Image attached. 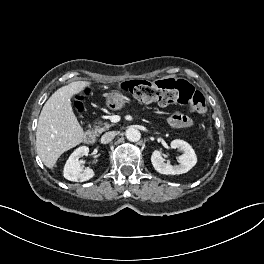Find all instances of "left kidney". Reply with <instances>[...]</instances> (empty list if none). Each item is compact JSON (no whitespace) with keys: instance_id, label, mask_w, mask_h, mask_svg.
<instances>
[{"instance_id":"obj_1","label":"left kidney","mask_w":264,"mask_h":264,"mask_svg":"<svg viewBox=\"0 0 264 264\" xmlns=\"http://www.w3.org/2000/svg\"><path fill=\"white\" fill-rule=\"evenodd\" d=\"M171 148L180 149L183 154L179 157V165L172 166L169 163H164L159 150H154L151 155V162L154 169L165 175H176L188 172L197 163V157L193 148L184 140L175 139L171 142Z\"/></svg>"}]
</instances>
